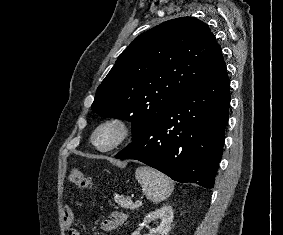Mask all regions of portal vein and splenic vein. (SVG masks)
I'll use <instances>...</instances> for the list:
<instances>
[{
	"label": "portal vein and splenic vein",
	"instance_id": "obj_1",
	"mask_svg": "<svg viewBox=\"0 0 283 235\" xmlns=\"http://www.w3.org/2000/svg\"><path fill=\"white\" fill-rule=\"evenodd\" d=\"M136 203H138L139 205H141V202H140V201H138V202H136Z\"/></svg>",
	"mask_w": 283,
	"mask_h": 235
}]
</instances>
